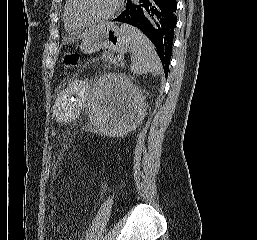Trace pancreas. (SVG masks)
I'll return each instance as SVG.
<instances>
[{"label": "pancreas", "instance_id": "pancreas-1", "mask_svg": "<svg viewBox=\"0 0 257 240\" xmlns=\"http://www.w3.org/2000/svg\"><path fill=\"white\" fill-rule=\"evenodd\" d=\"M118 57H121V56H117V57H114L113 54H111L110 52H105L103 53L102 55V60L106 61L108 64H118Z\"/></svg>", "mask_w": 257, "mask_h": 240}]
</instances>
